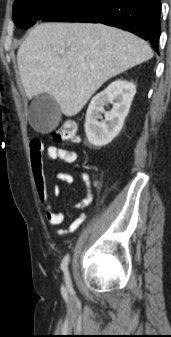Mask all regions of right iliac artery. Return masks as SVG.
<instances>
[{"instance_id":"82829eb1","label":"right iliac artery","mask_w":171,"mask_h":337,"mask_svg":"<svg viewBox=\"0 0 171 337\" xmlns=\"http://www.w3.org/2000/svg\"><path fill=\"white\" fill-rule=\"evenodd\" d=\"M68 262H69V255L67 254L64 257V259H63V261L61 263V269L64 272L65 279H66V284H67L68 287H70L71 286V280H70V276H69V272H68V268H67Z\"/></svg>"}]
</instances>
